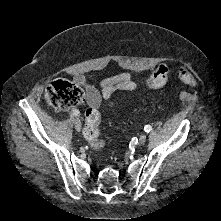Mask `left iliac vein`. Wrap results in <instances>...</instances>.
Returning <instances> with one entry per match:
<instances>
[{
  "label": "left iliac vein",
  "mask_w": 221,
  "mask_h": 221,
  "mask_svg": "<svg viewBox=\"0 0 221 221\" xmlns=\"http://www.w3.org/2000/svg\"><path fill=\"white\" fill-rule=\"evenodd\" d=\"M146 138H147V137H146V135H145V134L140 135V137H139V143H140V144L145 143Z\"/></svg>",
  "instance_id": "1"
}]
</instances>
